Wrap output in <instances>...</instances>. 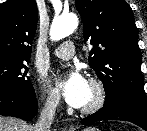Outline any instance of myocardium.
I'll return each instance as SVG.
<instances>
[{"label": "myocardium", "instance_id": "myocardium-1", "mask_svg": "<svg viewBox=\"0 0 147 131\" xmlns=\"http://www.w3.org/2000/svg\"><path fill=\"white\" fill-rule=\"evenodd\" d=\"M89 85L94 94L93 100L89 104L82 106L80 109V112L86 115L96 113L102 109L107 99L106 88L100 79L95 77L91 78L89 80Z\"/></svg>", "mask_w": 147, "mask_h": 131}]
</instances>
